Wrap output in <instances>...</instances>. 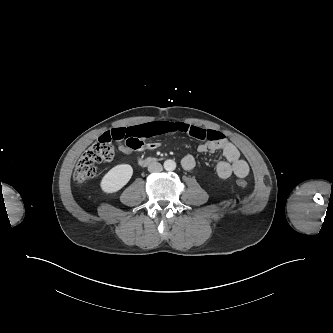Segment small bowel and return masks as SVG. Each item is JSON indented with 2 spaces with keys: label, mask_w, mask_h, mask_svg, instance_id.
<instances>
[{
  "label": "small bowel",
  "mask_w": 333,
  "mask_h": 333,
  "mask_svg": "<svg viewBox=\"0 0 333 333\" xmlns=\"http://www.w3.org/2000/svg\"><path fill=\"white\" fill-rule=\"evenodd\" d=\"M183 133L194 138L205 140L198 145L199 153L222 152L225 160L217 164L216 171L220 178L227 179L232 175L244 178L249 174V165L240 156L239 150L225 136L215 130L204 129L182 122H151L130 127H120L105 132L101 137L115 141L119 149L130 154L132 151L154 150L160 146L158 140L147 141L163 134ZM181 164L185 170H192L196 161L193 155L187 154Z\"/></svg>",
  "instance_id": "c3829d8e"
}]
</instances>
